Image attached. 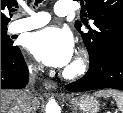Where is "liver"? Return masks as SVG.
<instances>
[{
	"mask_svg": "<svg viewBox=\"0 0 123 113\" xmlns=\"http://www.w3.org/2000/svg\"><path fill=\"white\" fill-rule=\"evenodd\" d=\"M26 93L21 90H1V113H23ZM39 101L35 98V109Z\"/></svg>",
	"mask_w": 123,
	"mask_h": 113,
	"instance_id": "6515ba94",
	"label": "liver"
}]
</instances>
